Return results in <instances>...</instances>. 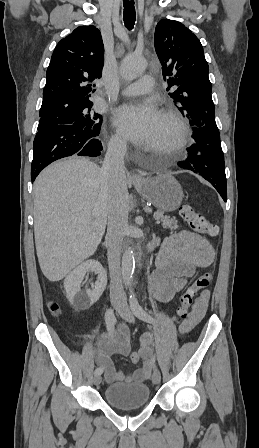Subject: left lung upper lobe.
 I'll use <instances>...</instances> for the list:
<instances>
[{
	"label": "left lung upper lobe",
	"instance_id": "5c2ea615",
	"mask_svg": "<svg viewBox=\"0 0 259 448\" xmlns=\"http://www.w3.org/2000/svg\"><path fill=\"white\" fill-rule=\"evenodd\" d=\"M155 50L162 65L168 95L181 107L194 127L215 123L209 66L199 39L182 23L162 19L155 29Z\"/></svg>",
	"mask_w": 259,
	"mask_h": 448
}]
</instances>
